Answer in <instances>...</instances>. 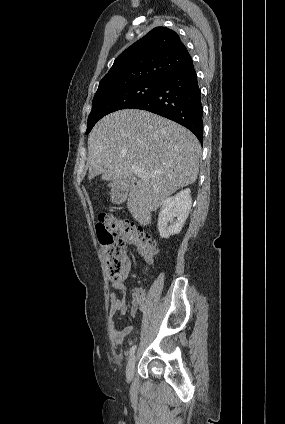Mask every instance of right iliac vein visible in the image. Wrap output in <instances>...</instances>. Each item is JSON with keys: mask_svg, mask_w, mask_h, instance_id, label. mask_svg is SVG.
Wrapping results in <instances>:
<instances>
[{"mask_svg": "<svg viewBox=\"0 0 285 424\" xmlns=\"http://www.w3.org/2000/svg\"><path fill=\"white\" fill-rule=\"evenodd\" d=\"M135 362H136V357L132 356L126 366V378L128 381H131L133 379L134 372H135Z\"/></svg>", "mask_w": 285, "mask_h": 424, "instance_id": "right-iliac-vein-1", "label": "right iliac vein"}]
</instances>
